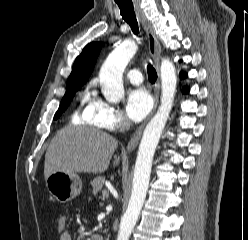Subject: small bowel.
Instances as JSON below:
<instances>
[{
  "instance_id": "c3829d8e",
  "label": "small bowel",
  "mask_w": 248,
  "mask_h": 240,
  "mask_svg": "<svg viewBox=\"0 0 248 240\" xmlns=\"http://www.w3.org/2000/svg\"><path fill=\"white\" fill-rule=\"evenodd\" d=\"M59 240H72V234L69 231H65L60 234Z\"/></svg>"
}]
</instances>
